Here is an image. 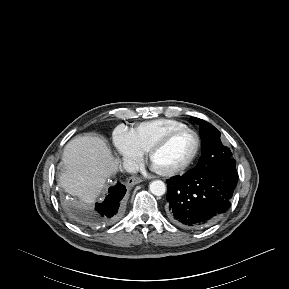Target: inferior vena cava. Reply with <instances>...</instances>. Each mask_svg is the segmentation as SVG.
I'll use <instances>...</instances> for the list:
<instances>
[{
	"label": "inferior vena cava",
	"instance_id": "obj_1",
	"mask_svg": "<svg viewBox=\"0 0 289 289\" xmlns=\"http://www.w3.org/2000/svg\"><path fill=\"white\" fill-rule=\"evenodd\" d=\"M123 169L128 173H136L139 170V166L135 161L126 159L123 162Z\"/></svg>",
	"mask_w": 289,
	"mask_h": 289
}]
</instances>
